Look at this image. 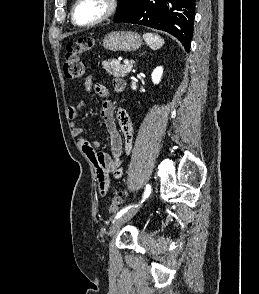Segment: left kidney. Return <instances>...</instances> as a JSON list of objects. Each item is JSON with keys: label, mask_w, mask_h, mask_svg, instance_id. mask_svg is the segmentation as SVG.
<instances>
[{"label": "left kidney", "mask_w": 259, "mask_h": 294, "mask_svg": "<svg viewBox=\"0 0 259 294\" xmlns=\"http://www.w3.org/2000/svg\"><path fill=\"white\" fill-rule=\"evenodd\" d=\"M163 75V67L159 66L152 72L151 78L154 84H159Z\"/></svg>", "instance_id": "left-kidney-1"}]
</instances>
